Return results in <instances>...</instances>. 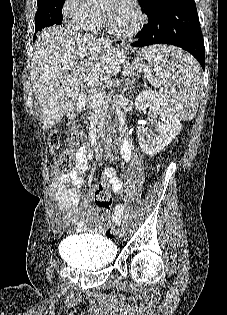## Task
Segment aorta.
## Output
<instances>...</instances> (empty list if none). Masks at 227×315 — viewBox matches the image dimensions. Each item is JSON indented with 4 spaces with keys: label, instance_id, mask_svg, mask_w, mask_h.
Segmentation results:
<instances>
[{
    "label": "aorta",
    "instance_id": "obj_1",
    "mask_svg": "<svg viewBox=\"0 0 227 315\" xmlns=\"http://www.w3.org/2000/svg\"><path fill=\"white\" fill-rule=\"evenodd\" d=\"M105 2V0H87V3L89 5H98V4H103ZM115 132L113 127H110L109 130V134L107 135L106 138V150H107V154L108 152H110V146L112 143V134Z\"/></svg>",
    "mask_w": 227,
    "mask_h": 315
}]
</instances>
